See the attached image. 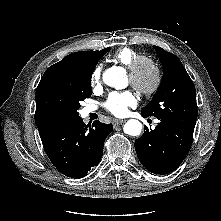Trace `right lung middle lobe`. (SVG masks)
Listing matches in <instances>:
<instances>
[{
    "label": "right lung middle lobe",
    "instance_id": "1",
    "mask_svg": "<svg viewBox=\"0 0 221 221\" xmlns=\"http://www.w3.org/2000/svg\"><path fill=\"white\" fill-rule=\"evenodd\" d=\"M101 57L85 71L72 76L50 78L38 88L35 120L55 125L78 118L80 101L91 96L92 73Z\"/></svg>",
    "mask_w": 221,
    "mask_h": 221
}]
</instances>
